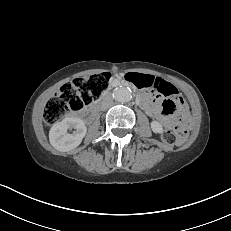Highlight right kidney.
<instances>
[{
    "label": "right kidney",
    "mask_w": 231,
    "mask_h": 231,
    "mask_svg": "<svg viewBox=\"0 0 231 231\" xmlns=\"http://www.w3.org/2000/svg\"><path fill=\"white\" fill-rule=\"evenodd\" d=\"M71 129L75 130L72 133H68V130ZM86 132L87 128L83 120L68 117L51 127L49 140L55 149L66 152L79 146Z\"/></svg>",
    "instance_id": "obj_1"
}]
</instances>
